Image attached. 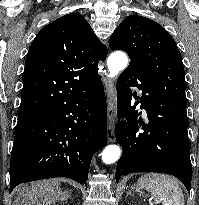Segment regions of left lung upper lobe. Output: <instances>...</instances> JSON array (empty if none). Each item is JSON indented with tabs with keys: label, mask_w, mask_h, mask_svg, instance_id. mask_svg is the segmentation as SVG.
<instances>
[{
	"label": "left lung upper lobe",
	"mask_w": 199,
	"mask_h": 205,
	"mask_svg": "<svg viewBox=\"0 0 199 205\" xmlns=\"http://www.w3.org/2000/svg\"><path fill=\"white\" fill-rule=\"evenodd\" d=\"M111 50H123L145 81L164 94L186 101L181 54L169 33L146 17L130 15L113 32Z\"/></svg>",
	"instance_id": "left-lung-upper-lobe-1"
}]
</instances>
